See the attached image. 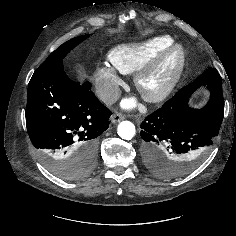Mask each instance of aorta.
<instances>
[{"mask_svg": "<svg viewBox=\"0 0 236 236\" xmlns=\"http://www.w3.org/2000/svg\"><path fill=\"white\" fill-rule=\"evenodd\" d=\"M117 133L122 139L130 140L136 134L135 125L130 121H122L118 125Z\"/></svg>", "mask_w": 236, "mask_h": 236, "instance_id": "762f6f07", "label": "aorta"}]
</instances>
